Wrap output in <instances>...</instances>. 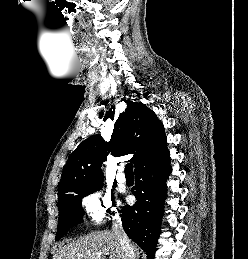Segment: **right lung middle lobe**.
Segmentation results:
<instances>
[{
    "mask_svg": "<svg viewBox=\"0 0 248 259\" xmlns=\"http://www.w3.org/2000/svg\"><path fill=\"white\" fill-rule=\"evenodd\" d=\"M103 183L74 189L68 194L58 197L59 220L56 241L74 225L83 221L82 198L101 189ZM109 211V209L107 210Z\"/></svg>",
    "mask_w": 248,
    "mask_h": 259,
    "instance_id": "right-lung-middle-lobe-1",
    "label": "right lung middle lobe"
}]
</instances>
